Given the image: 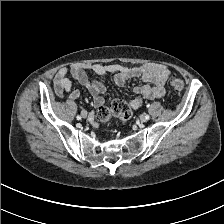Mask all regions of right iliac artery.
<instances>
[{
    "mask_svg": "<svg viewBox=\"0 0 224 224\" xmlns=\"http://www.w3.org/2000/svg\"><path fill=\"white\" fill-rule=\"evenodd\" d=\"M81 114H82V112H81ZM76 118H77V120H80L81 119V116L78 115Z\"/></svg>",
    "mask_w": 224,
    "mask_h": 224,
    "instance_id": "82829eb1",
    "label": "right iliac artery"
}]
</instances>
